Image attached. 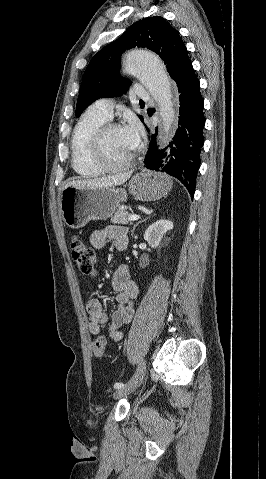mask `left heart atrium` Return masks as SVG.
Here are the masks:
<instances>
[{"instance_id": "obj_1", "label": "left heart atrium", "mask_w": 266, "mask_h": 479, "mask_svg": "<svg viewBox=\"0 0 266 479\" xmlns=\"http://www.w3.org/2000/svg\"><path fill=\"white\" fill-rule=\"evenodd\" d=\"M124 135L132 150L136 149L140 142L141 127L135 120H130L129 123L122 128Z\"/></svg>"}]
</instances>
